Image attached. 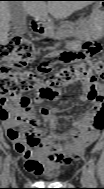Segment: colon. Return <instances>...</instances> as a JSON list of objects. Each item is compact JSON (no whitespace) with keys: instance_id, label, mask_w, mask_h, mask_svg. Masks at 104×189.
<instances>
[{"instance_id":"colon-1","label":"colon","mask_w":104,"mask_h":189,"mask_svg":"<svg viewBox=\"0 0 104 189\" xmlns=\"http://www.w3.org/2000/svg\"><path fill=\"white\" fill-rule=\"evenodd\" d=\"M84 52L63 54L64 65L56 70L47 62L41 64L37 72L26 70L35 58L33 43L19 34H10L1 45L3 63L0 68V92L4 99L11 98L20 104L30 103L27 94L37 93L41 98L51 100L56 97V87L69 84L88 76L102 80L104 64L98 59L101 45L86 41Z\"/></svg>"}]
</instances>
